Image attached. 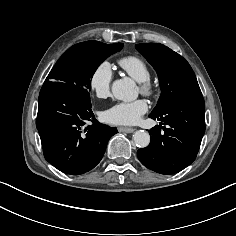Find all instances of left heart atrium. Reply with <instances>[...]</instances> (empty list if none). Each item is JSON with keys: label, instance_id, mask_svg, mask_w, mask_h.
<instances>
[{"label": "left heart atrium", "instance_id": "obj_1", "mask_svg": "<svg viewBox=\"0 0 236 236\" xmlns=\"http://www.w3.org/2000/svg\"><path fill=\"white\" fill-rule=\"evenodd\" d=\"M147 111L148 105L144 99L119 101L103 113V118L110 124L134 125Z\"/></svg>", "mask_w": 236, "mask_h": 236}]
</instances>
